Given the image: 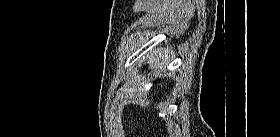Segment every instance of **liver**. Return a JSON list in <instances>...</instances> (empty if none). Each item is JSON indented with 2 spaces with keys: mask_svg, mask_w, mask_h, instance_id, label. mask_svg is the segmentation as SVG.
Returning a JSON list of instances; mask_svg holds the SVG:
<instances>
[{
  "mask_svg": "<svg viewBox=\"0 0 280 137\" xmlns=\"http://www.w3.org/2000/svg\"><path fill=\"white\" fill-rule=\"evenodd\" d=\"M163 64V61H161L160 63L158 61H155V68H161V65ZM153 66V63H152Z\"/></svg>",
  "mask_w": 280,
  "mask_h": 137,
  "instance_id": "1",
  "label": "liver"
}]
</instances>
